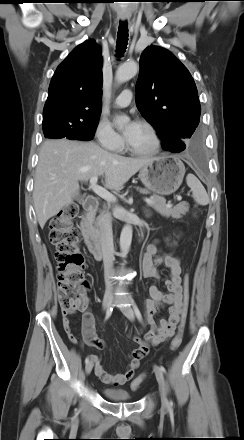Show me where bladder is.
Returning a JSON list of instances; mask_svg holds the SVG:
<instances>
[{
  "label": "bladder",
  "instance_id": "31cf9c89",
  "mask_svg": "<svg viewBox=\"0 0 244 440\" xmlns=\"http://www.w3.org/2000/svg\"><path fill=\"white\" fill-rule=\"evenodd\" d=\"M103 396L112 402H129L132 396L125 390L103 389Z\"/></svg>",
  "mask_w": 244,
  "mask_h": 440
}]
</instances>
